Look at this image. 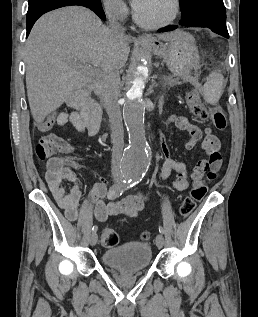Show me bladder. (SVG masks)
Returning a JSON list of instances; mask_svg holds the SVG:
<instances>
[{
  "mask_svg": "<svg viewBox=\"0 0 258 317\" xmlns=\"http://www.w3.org/2000/svg\"><path fill=\"white\" fill-rule=\"evenodd\" d=\"M152 258L149 243L132 241L110 248L102 254L103 263L113 269L126 272L145 270Z\"/></svg>",
  "mask_w": 258,
  "mask_h": 317,
  "instance_id": "obj_1",
  "label": "bladder"
}]
</instances>
